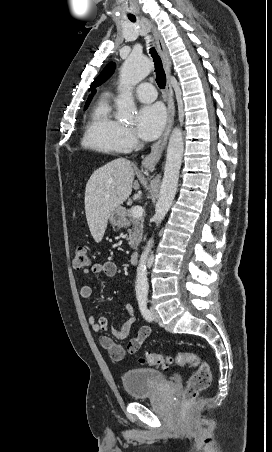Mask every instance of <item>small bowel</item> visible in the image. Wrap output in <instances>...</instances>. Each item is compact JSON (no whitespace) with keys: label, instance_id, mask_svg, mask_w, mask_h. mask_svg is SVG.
Returning <instances> with one entry per match:
<instances>
[{"label":"small bowel","instance_id":"small-bowel-1","mask_svg":"<svg viewBox=\"0 0 272 452\" xmlns=\"http://www.w3.org/2000/svg\"><path fill=\"white\" fill-rule=\"evenodd\" d=\"M92 272L95 275L104 274L107 277H114L117 274L118 268L114 261L106 260L100 263H94L91 266V270L84 269L83 273L88 275L89 272ZM93 295V288L91 285L85 284L80 288V296L83 299H90ZM125 310L127 313L126 321L120 326V328L112 327V336L116 339L122 340L127 338L133 327L137 322V316L134 307L131 304H127L125 306ZM88 322L95 332H103L109 327V320L106 317L97 318L94 315H91L88 319ZM152 329L149 326L141 327L136 336L131 338L130 341L136 340L138 342V349L141 347L143 342L151 335ZM101 344L104 348H106L111 356L119 360L123 357V350L119 347H116L113 344V341L109 337H102ZM129 341V342H130Z\"/></svg>","mask_w":272,"mask_h":452}]
</instances>
